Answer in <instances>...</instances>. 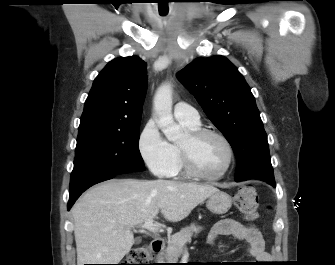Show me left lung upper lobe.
<instances>
[{"label":"left lung upper lobe","mask_w":335,"mask_h":265,"mask_svg":"<svg viewBox=\"0 0 335 265\" xmlns=\"http://www.w3.org/2000/svg\"><path fill=\"white\" fill-rule=\"evenodd\" d=\"M232 146L236 178L273 180L269 145L251 89L223 56L198 58L177 73Z\"/></svg>","instance_id":"5c2ea615"}]
</instances>
